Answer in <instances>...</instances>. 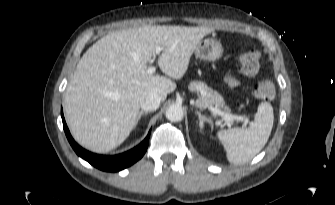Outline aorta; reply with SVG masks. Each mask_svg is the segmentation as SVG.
Segmentation results:
<instances>
[{
	"label": "aorta",
	"instance_id": "obj_1",
	"mask_svg": "<svg viewBox=\"0 0 335 205\" xmlns=\"http://www.w3.org/2000/svg\"><path fill=\"white\" fill-rule=\"evenodd\" d=\"M166 118L171 122H178L183 119L184 112L181 106L170 105L166 110Z\"/></svg>",
	"mask_w": 335,
	"mask_h": 205
}]
</instances>
